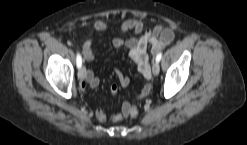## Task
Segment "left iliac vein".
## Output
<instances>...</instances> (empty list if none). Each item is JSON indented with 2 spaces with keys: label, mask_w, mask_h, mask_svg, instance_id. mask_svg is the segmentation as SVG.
I'll return each instance as SVG.
<instances>
[{
  "label": "left iliac vein",
  "mask_w": 247,
  "mask_h": 145,
  "mask_svg": "<svg viewBox=\"0 0 247 145\" xmlns=\"http://www.w3.org/2000/svg\"><path fill=\"white\" fill-rule=\"evenodd\" d=\"M160 71V66L158 62H154L152 65V72L155 76H157L159 74Z\"/></svg>",
  "instance_id": "1"
}]
</instances>
